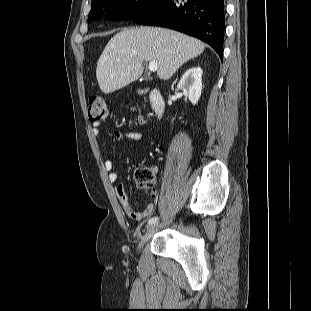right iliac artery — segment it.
Wrapping results in <instances>:
<instances>
[{"label":"right iliac artery","instance_id":"right-iliac-artery-1","mask_svg":"<svg viewBox=\"0 0 311 311\" xmlns=\"http://www.w3.org/2000/svg\"><path fill=\"white\" fill-rule=\"evenodd\" d=\"M157 221H158V217H152L151 219H149L148 225L155 224Z\"/></svg>","mask_w":311,"mask_h":311}]
</instances>
